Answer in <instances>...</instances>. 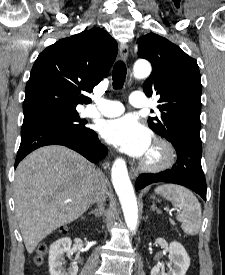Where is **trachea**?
<instances>
[{"label": "trachea", "instance_id": "3493384b", "mask_svg": "<svg viewBox=\"0 0 225 275\" xmlns=\"http://www.w3.org/2000/svg\"><path fill=\"white\" fill-rule=\"evenodd\" d=\"M127 69L122 61H117L113 67V88L121 89L126 79Z\"/></svg>", "mask_w": 225, "mask_h": 275}]
</instances>
